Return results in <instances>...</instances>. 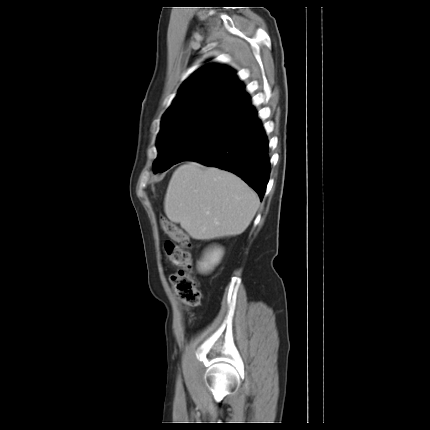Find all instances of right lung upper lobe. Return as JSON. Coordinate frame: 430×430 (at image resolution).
<instances>
[{"label":"right lung upper lobe","mask_w":430,"mask_h":430,"mask_svg":"<svg viewBox=\"0 0 430 430\" xmlns=\"http://www.w3.org/2000/svg\"><path fill=\"white\" fill-rule=\"evenodd\" d=\"M235 72L223 65L210 64L197 70L179 89L177 97L165 115L205 102L223 101L241 117L251 108V102ZM164 115V116H165Z\"/></svg>","instance_id":"obj_1"}]
</instances>
